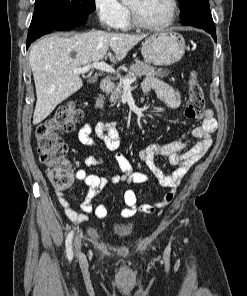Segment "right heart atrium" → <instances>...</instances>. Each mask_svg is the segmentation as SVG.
<instances>
[{
	"label": "right heart atrium",
	"instance_id": "d8ad5b80",
	"mask_svg": "<svg viewBox=\"0 0 247 296\" xmlns=\"http://www.w3.org/2000/svg\"><path fill=\"white\" fill-rule=\"evenodd\" d=\"M94 13L100 24L118 28L128 16L127 8L119 0H93Z\"/></svg>",
	"mask_w": 247,
	"mask_h": 296
}]
</instances>
